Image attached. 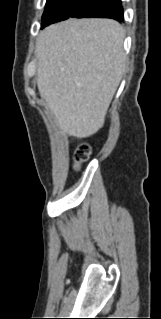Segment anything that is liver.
Segmentation results:
<instances>
[{"instance_id":"6515ba94","label":"liver","mask_w":161,"mask_h":319,"mask_svg":"<svg viewBox=\"0 0 161 319\" xmlns=\"http://www.w3.org/2000/svg\"><path fill=\"white\" fill-rule=\"evenodd\" d=\"M124 37L111 19H69L40 32L37 86L64 133L86 138L103 127L126 68Z\"/></svg>"}]
</instances>
